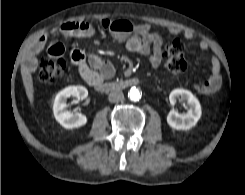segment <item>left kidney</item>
<instances>
[{"mask_svg":"<svg viewBox=\"0 0 245 195\" xmlns=\"http://www.w3.org/2000/svg\"><path fill=\"white\" fill-rule=\"evenodd\" d=\"M178 99L186 102L189 110L180 114L172 109L167 115V123L173 129L188 130L195 126L200 119L202 114L201 105L189 90L174 89L169 95L171 105L174 106Z\"/></svg>","mask_w":245,"mask_h":195,"instance_id":"1","label":"left kidney"}]
</instances>
